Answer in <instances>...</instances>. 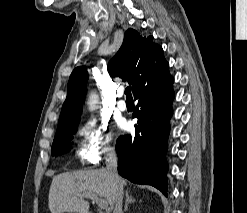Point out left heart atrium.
Returning a JSON list of instances; mask_svg holds the SVG:
<instances>
[{"instance_id":"left-heart-atrium-1","label":"left heart atrium","mask_w":247,"mask_h":213,"mask_svg":"<svg viewBox=\"0 0 247 213\" xmlns=\"http://www.w3.org/2000/svg\"><path fill=\"white\" fill-rule=\"evenodd\" d=\"M119 126H120V128H122V129H126V123H125V122H121V123L119 124Z\"/></svg>"}]
</instances>
